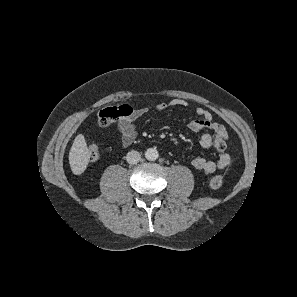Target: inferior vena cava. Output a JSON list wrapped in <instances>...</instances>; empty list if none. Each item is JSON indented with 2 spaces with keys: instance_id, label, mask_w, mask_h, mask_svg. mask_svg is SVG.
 <instances>
[{
  "instance_id": "602c4592",
  "label": "inferior vena cava",
  "mask_w": 297,
  "mask_h": 297,
  "mask_svg": "<svg viewBox=\"0 0 297 297\" xmlns=\"http://www.w3.org/2000/svg\"><path fill=\"white\" fill-rule=\"evenodd\" d=\"M141 155L136 150H131L126 155V160L129 164H136L140 161Z\"/></svg>"
}]
</instances>
